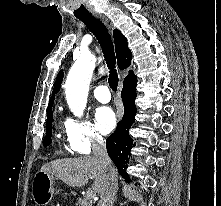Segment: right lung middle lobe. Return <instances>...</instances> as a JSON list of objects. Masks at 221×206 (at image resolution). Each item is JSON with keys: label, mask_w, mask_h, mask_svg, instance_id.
<instances>
[{"label": "right lung middle lobe", "mask_w": 221, "mask_h": 206, "mask_svg": "<svg viewBox=\"0 0 221 206\" xmlns=\"http://www.w3.org/2000/svg\"><path fill=\"white\" fill-rule=\"evenodd\" d=\"M52 119H53V112L50 111L47 113L46 136L44 138V145H49L52 142L51 141Z\"/></svg>", "instance_id": "1"}]
</instances>
